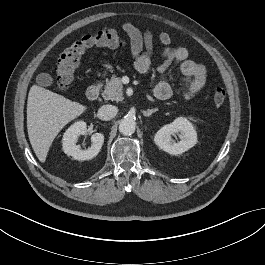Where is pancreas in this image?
Segmentation results:
<instances>
[{
    "instance_id": "1",
    "label": "pancreas",
    "mask_w": 265,
    "mask_h": 265,
    "mask_svg": "<svg viewBox=\"0 0 265 265\" xmlns=\"http://www.w3.org/2000/svg\"><path fill=\"white\" fill-rule=\"evenodd\" d=\"M102 96L106 100L122 101L123 100V85L120 77L113 75L106 82Z\"/></svg>"
}]
</instances>
